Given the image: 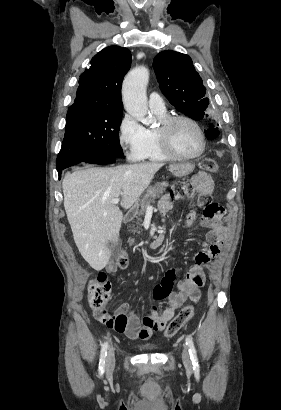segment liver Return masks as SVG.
<instances>
[{"instance_id":"obj_1","label":"liver","mask_w":281,"mask_h":410,"mask_svg":"<svg viewBox=\"0 0 281 410\" xmlns=\"http://www.w3.org/2000/svg\"><path fill=\"white\" fill-rule=\"evenodd\" d=\"M163 163H139L113 168L91 167L67 173L62 182L64 208L74 241L89 265L102 270L109 262L108 244H116L123 213L112 200L122 196L131 208Z\"/></svg>"}]
</instances>
